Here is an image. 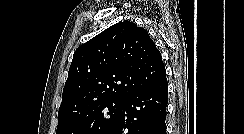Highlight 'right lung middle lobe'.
Segmentation results:
<instances>
[{"label": "right lung middle lobe", "instance_id": "dd1d6c3e", "mask_svg": "<svg viewBox=\"0 0 244 134\" xmlns=\"http://www.w3.org/2000/svg\"><path fill=\"white\" fill-rule=\"evenodd\" d=\"M125 100L110 99L58 120L56 134H104L118 118Z\"/></svg>", "mask_w": 244, "mask_h": 134}]
</instances>
